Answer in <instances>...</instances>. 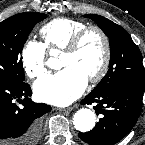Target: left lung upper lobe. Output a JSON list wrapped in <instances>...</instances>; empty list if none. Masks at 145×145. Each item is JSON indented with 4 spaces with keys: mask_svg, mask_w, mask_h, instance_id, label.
I'll use <instances>...</instances> for the list:
<instances>
[{
    "mask_svg": "<svg viewBox=\"0 0 145 145\" xmlns=\"http://www.w3.org/2000/svg\"><path fill=\"white\" fill-rule=\"evenodd\" d=\"M84 17L95 21L110 40L109 70L91 94H100L117 86L144 90L145 76L141 53L129 33L100 15L87 14Z\"/></svg>",
    "mask_w": 145,
    "mask_h": 145,
    "instance_id": "left-lung-upper-lobe-1",
    "label": "left lung upper lobe"
}]
</instances>
